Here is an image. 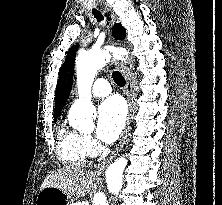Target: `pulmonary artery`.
Segmentation results:
<instances>
[{
    "mask_svg": "<svg viewBox=\"0 0 222 205\" xmlns=\"http://www.w3.org/2000/svg\"><path fill=\"white\" fill-rule=\"evenodd\" d=\"M111 91V87L105 79H97L91 89V93L96 97L108 96Z\"/></svg>",
    "mask_w": 222,
    "mask_h": 205,
    "instance_id": "e3ab8cb5",
    "label": "pulmonary artery"
}]
</instances>
